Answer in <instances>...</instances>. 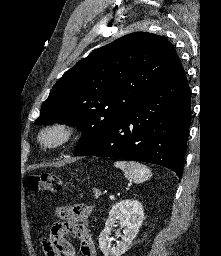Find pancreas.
I'll return each instance as SVG.
<instances>
[{
  "instance_id": "cf45deb5",
  "label": "pancreas",
  "mask_w": 221,
  "mask_h": 256,
  "mask_svg": "<svg viewBox=\"0 0 221 256\" xmlns=\"http://www.w3.org/2000/svg\"><path fill=\"white\" fill-rule=\"evenodd\" d=\"M93 192L96 198H98L101 195V192L98 189H94Z\"/></svg>"
}]
</instances>
